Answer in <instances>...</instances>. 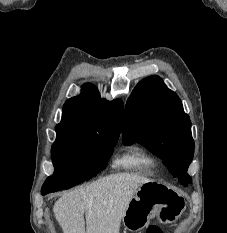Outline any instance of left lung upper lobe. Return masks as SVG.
Listing matches in <instances>:
<instances>
[{
    "label": "left lung upper lobe",
    "mask_w": 227,
    "mask_h": 233,
    "mask_svg": "<svg viewBox=\"0 0 227 233\" xmlns=\"http://www.w3.org/2000/svg\"><path fill=\"white\" fill-rule=\"evenodd\" d=\"M123 142H138L160 157L174 177L186 186L194 155L191 122L177 94L159 76L136 85L129 96L122 131Z\"/></svg>",
    "instance_id": "5c2ea615"
}]
</instances>
